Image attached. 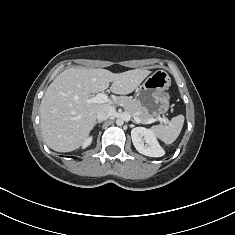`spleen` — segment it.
Wrapping results in <instances>:
<instances>
[{
  "label": "spleen",
  "instance_id": "3e777b00",
  "mask_svg": "<svg viewBox=\"0 0 235 235\" xmlns=\"http://www.w3.org/2000/svg\"><path fill=\"white\" fill-rule=\"evenodd\" d=\"M183 124L184 116L180 114L172 118L168 125H158L153 127L152 130L165 144H171L179 136Z\"/></svg>",
  "mask_w": 235,
  "mask_h": 235
}]
</instances>
